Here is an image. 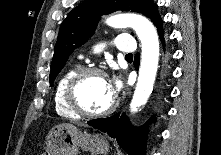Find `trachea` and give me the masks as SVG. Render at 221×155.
<instances>
[{
  "label": "trachea",
  "mask_w": 221,
  "mask_h": 155,
  "mask_svg": "<svg viewBox=\"0 0 221 155\" xmlns=\"http://www.w3.org/2000/svg\"><path fill=\"white\" fill-rule=\"evenodd\" d=\"M125 57H126V58H132L133 55H132V54H127Z\"/></svg>",
  "instance_id": "3493384b"
}]
</instances>
